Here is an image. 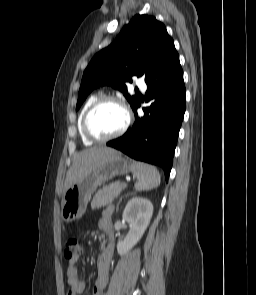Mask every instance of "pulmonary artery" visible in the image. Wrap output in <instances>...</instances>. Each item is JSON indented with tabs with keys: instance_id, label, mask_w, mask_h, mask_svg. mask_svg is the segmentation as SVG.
Listing matches in <instances>:
<instances>
[{
	"instance_id": "obj_1",
	"label": "pulmonary artery",
	"mask_w": 256,
	"mask_h": 295,
	"mask_svg": "<svg viewBox=\"0 0 256 295\" xmlns=\"http://www.w3.org/2000/svg\"><path fill=\"white\" fill-rule=\"evenodd\" d=\"M135 83L139 88H141L142 90H145L146 84L142 78L136 79Z\"/></svg>"
}]
</instances>
